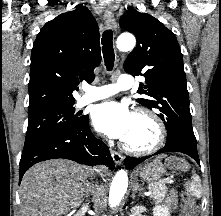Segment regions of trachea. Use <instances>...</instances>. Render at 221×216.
I'll return each mask as SVG.
<instances>
[{
	"instance_id": "obj_1",
	"label": "trachea",
	"mask_w": 221,
	"mask_h": 216,
	"mask_svg": "<svg viewBox=\"0 0 221 216\" xmlns=\"http://www.w3.org/2000/svg\"><path fill=\"white\" fill-rule=\"evenodd\" d=\"M102 52H103L105 66L108 71H111L113 69L114 60H115L112 30H106L103 33Z\"/></svg>"
}]
</instances>
